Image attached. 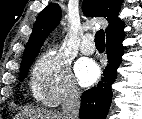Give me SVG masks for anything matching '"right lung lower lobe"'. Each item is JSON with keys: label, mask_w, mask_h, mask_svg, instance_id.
Listing matches in <instances>:
<instances>
[{"label": "right lung lower lobe", "mask_w": 142, "mask_h": 119, "mask_svg": "<svg viewBox=\"0 0 142 119\" xmlns=\"http://www.w3.org/2000/svg\"><path fill=\"white\" fill-rule=\"evenodd\" d=\"M123 39L124 34L107 39L108 65L103 72L104 77L97 87H93L82 94L80 119L106 118L112 99L111 86L117 78V68L122 61Z\"/></svg>", "instance_id": "1"}]
</instances>
